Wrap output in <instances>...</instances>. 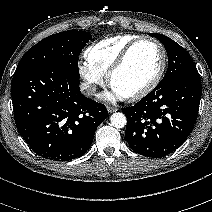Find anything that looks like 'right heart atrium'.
<instances>
[{
    "label": "right heart atrium",
    "instance_id": "obj_1",
    "mask_svg": "<svg viewBox=\"0 0 212 212\" xmlns=\"http://www.w3.org/2000/svg\"><path fill=\"white\" fill-rule=\"evenodd\" d=\"M78 73L82 79L83 90L87 95H92L96 87L102 85L105 79V75L87 60L78 63Z\"/></svg>",
    "mask_w": 212,
    "mask_h": 212
}]
</instances>
